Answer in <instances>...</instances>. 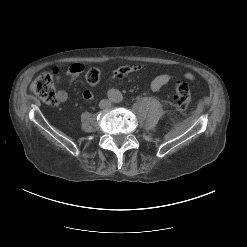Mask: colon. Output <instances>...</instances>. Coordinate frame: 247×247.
Segmentation results:
<instances>
[{
	"mask_svg": "<svg viewBox=\"0 0 247 247\" xmlns=\"http://www.w3.org/2000/svg\"><path fill=\"white\" fill-rule=\"evenodd\" d=\"M101 77L100 70L91 68L85 75L86 82L90 86L98 84ZM31 90L46 104L57 105L59 96L55 90L52 75L43 73L35 78ZM173 99L180 111H185L191 102V92L188 85L182 81H175L173 85Z\"/></svg>",
	"mask_w": 247,
	"mask_h": 247,
	"instance_id": "obj_1",
	"label": "colon"
}]
</instances>
